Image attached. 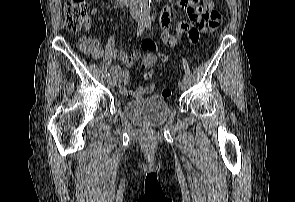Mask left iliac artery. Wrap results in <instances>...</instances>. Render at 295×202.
Listing matches in <instances>:
<instances>
[{
    "instance_id": "1",
    "label": "left iliac artery",
    "mask_w": 295,
    "mask_h": 202,
    "mask_svg": "<svg viewBox=\"0 0 295 202\" xmlns=\"http://www.w3.org/2000/svg\"><path fill=\"white\" fill-rule=\"evenodd\" d=\"M146 27L151 28V22L150 21H148L146 23ZM183 81H187V78L186 77H183Z\"/></svg>"
}]
</instances>
